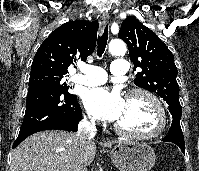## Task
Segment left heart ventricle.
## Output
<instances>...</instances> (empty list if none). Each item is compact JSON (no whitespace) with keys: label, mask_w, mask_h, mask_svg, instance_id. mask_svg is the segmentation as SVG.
<instances>
[{"label":"left heart ventricle","mask_w":199,"mask_h":171,"mask_svg":"<svg viewBox=\"0 0 199 171\" xmlns=\"http://www.w3.org/2000/svg\"><path fill=\"white\" fill-rule=\"evenodd\" d=\"M116 123L126 131L151 132L157 126V115L146 97L133 95L125 99L123 112Z\"/></svg>","instance_id":"b2bd125f"}]
</instances>
